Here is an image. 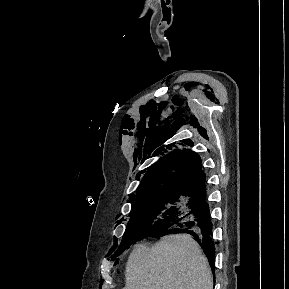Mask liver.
Wrapping results in <instances>:
<instances>
[{
  "instance_id": "liver-1",
  "label": "liver",
  "mask_w": 289,
  "mask_h": 289,
  "mask_svg": "<svg viewBox=\"0 0 289 289\" xmlns=\"http://www.w3.org/2000/svg\"><path fill=\"white\" fill-rule=\"evenodd\" d=\"M124 289H213V276L199 244L189 234L169 235L148 248L135 246Z\"/></svg>"
}]
</instances>
